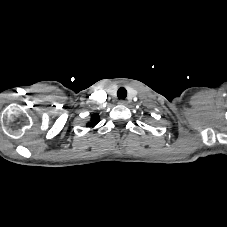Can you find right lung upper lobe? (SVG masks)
Wrapping results in <instances>:
<instances>
[{
	"label": "right lung upper lobe",
	"instance_id": "1",
	"mask_svg": "<svg viewBox=\"0 0 227 227\" xmlns=\"http://www.w3.org/2000/svg\"><path fill=\"white\" fill-rule=\"evenodd\" d=\"M98 122H99V115L98 114H93L91 116V122L88 123L87 125L89 127H94Z\"/></svg>",
	"mask_w": 227,
	"mask_h": 227
}]
</instances>
